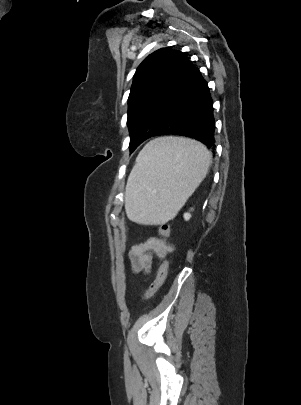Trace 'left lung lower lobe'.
I'll return each mask as SVG.
<instances>
[{
  "instance_id": "obj_1",
  "label": "left lung lower lobe",
  "mask_w": 301,
  "mask_h": 405,
  "mask_svg": "<svg viewBox=\"0 0 301 405\" xmlns=\"http://www.w3.org/2000/svg\"><path fill=\"white\" fill-rule=\"evenodd\" d=\"M214 129L213 102L208 84L199 69L193 65L183 92L152 136L191 137L206 145L208 149L214 150ZM146 139H137L130 147V152Z\"/></svg>"
}]
</instances>
